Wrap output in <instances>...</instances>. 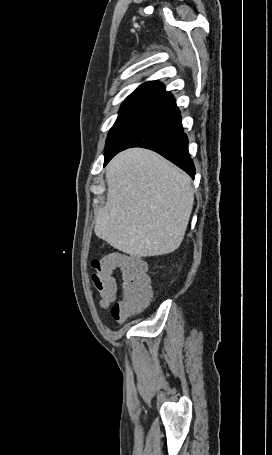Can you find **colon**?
Here are the masks:
<instances>
[{
  "label": "colon",
  "instance_id": "colon-1",
  "mask_svg": "<svg viewBox=\"0 0 272 455\" xmlns=\"http://www.w3.org/2000/svg\"><path fill=\"white\" fill-rule=\"evenodd\" d=\"M91 265L94 271L93 285L100 295L102 306L107 307L114 301L120 285L121 299L111 308L114 320H127L139 313L151 300L152 289L146 265L141 259L112 250L92 260ZM115 273L120 275V284Z\"/></svg>",
  "mask_w": 272,
  "mask_h": 455
}]
</instances>
